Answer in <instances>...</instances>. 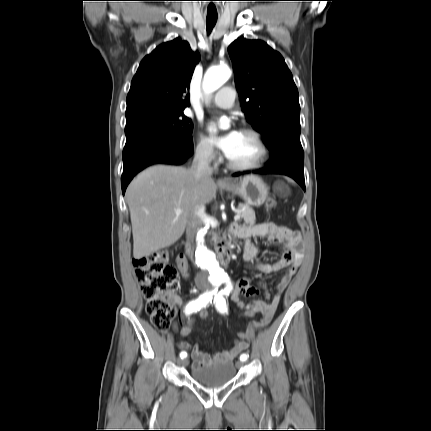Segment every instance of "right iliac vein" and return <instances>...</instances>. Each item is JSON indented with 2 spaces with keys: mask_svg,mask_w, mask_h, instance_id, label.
Here are the masks:
<instances>
[{
  "mask_svg": "<svg viewBox=\"0 0 431 431\" xmlns=\"http://www.w3.org/2000/svg\"><path fill=\"white\" fill-rule=\"evenodd\" d=\"M178 363H179V365L186 366L188 361L186 359H184V360L179 361Z\"/></svg>",
  "mask_w": 431,
  "mask_h": 431,
  "instance_id": "63e3f726",
  "label": "right iliac vein"
}]
</instances>
